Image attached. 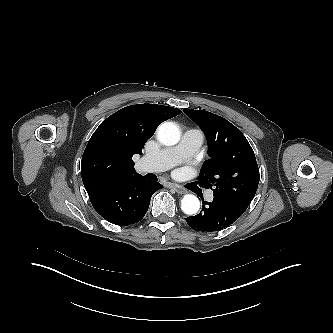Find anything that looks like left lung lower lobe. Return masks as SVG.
Wrapping results in <instances>:
<instances>
[{
    "instance_id": "obj_1",
    "label": "left lung lower lobe",
    "mask_w": 333,
    "mask_h": 333,
    "mask_svg": "<svg viewBox=\"0 0 333 333\" xmlns=\"http://www.w3.org/2000/svg\"><path fill=\"white\" fill-rule=\"evenodd\" d=\"M245 210L229 200L214 195L211 203L203 201L202 211L199 214L187 217L185 220L197 231L215 232L235 222Z\"/></svg>"
}]
</instances>
